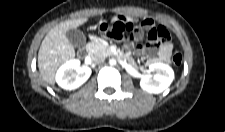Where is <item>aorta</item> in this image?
I'll return each instance as SVG.
<instances>
[{
  "instance_id": "1",
  "label": "aorta",
  "mask_w": 225,
  "mask_h": 132,
  "mask_svg": "<svg viewBox=\"0 0 225 132\" xmlns=\"http://www.w3.org/2000/svg\"><path fill=\"white\" fill-rule=\"evenodd\" d=\"M109 63H110V65H115V64H116V60H115V59H111V60L109 61Z\"/></svg>"
}]
</instances>
